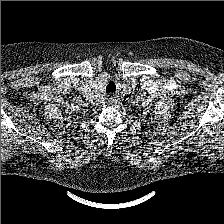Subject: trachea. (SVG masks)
Instances as JSON below:
<instances>
[{
    "label": "trachea",
    "instance_id": "obj_1",
    "mask_svg": "<svg viewBox=\"0 0 224 224\" xmlns=\"http://www.w3.org/2000/svg\"><path fill=\"white\" fill-rule=\"evenodd\" d=\"M116 91V85L113 81L108 82L106 86V93L113 94Z\"/></svg>",
    "mask_w": 224,
    "mask_h": 224
}]
</instances>
